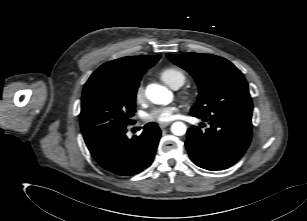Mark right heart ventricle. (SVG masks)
<instances>
[{
  "mask_svg": "<svg viewBox=\"0 0 307 221\" xmlns=\"http://www.w3.org/2000/svg\"><path fill=\"white\" fill-rule=\"evenodd\" d=\"M159 78L173 89L181 87L187 80L186 73L176 67L167 66L162 68L158 73Z\"/></svg>",
  "mask_w": 307,
  "mask_h": 221,
  "instance_id": "1",
  "label": "right heart ventricle"
}]
</instances>
